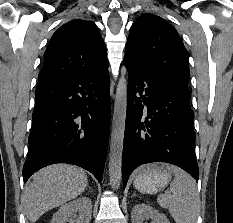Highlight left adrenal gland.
I'll list each match as a JSON object with an SVG mask.
<instances>
[{
    "instance_id": "obj_1",
    "label": "left adrenal gland",
    "mask_w": 233,
    "mask_h": 223,
    "mask_svg": "<svg viewBox=\"0 0 233 223\" xmlns=\"http://www.w3.org/2000/svg\"><path fill=\"white\" fill-rule=\"evenodd\" d=\"M134 195H136V193H133V195H131V197H134Z\"/></svg>"
}]
</instances>
